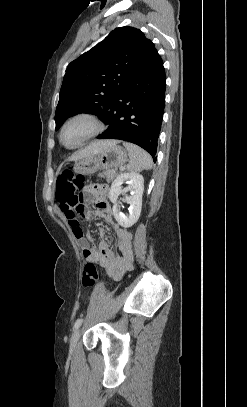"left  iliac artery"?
I'll return each instance as SVG.
<instances>
[{
  "label": "left iliac artery",
  "mask_w": 247,
  "mask_h": 407,
  "mask_svg": "<svg viewBox=\"0 0 247 407\" xmlns=\"http://www.w3.org/2000/svg\"><path fill=\"white\" fill-rule=\"evenodd\" d=\"M83 322V318L77 319L74 323L73 330H76Z\"/></svg>",
  "instance_id": "obj_1"
}]
</instances>
